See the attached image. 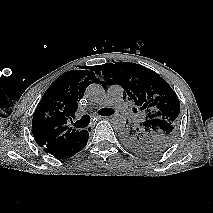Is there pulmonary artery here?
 I'll return each mask as SVG.
<instances>
[{
    "label": "pulmonary artery",
    "instance_id": "pulmonary-artery-1",
    "mask_svg": "<svg viewBox=\"0 0 213 213\" xmlns=\"http://www.w3.org/2000/svg\"><path fill=\"white\" fill-rule=\"evenodd\" d=\"M123 88L120 85H111L107 89L104 100L99 106H113L124 115H128L127 104L122 98Z\"/></svg>",
    "mask_w": 213,
    "mask_h": 213
}]
</instances>
